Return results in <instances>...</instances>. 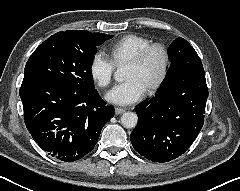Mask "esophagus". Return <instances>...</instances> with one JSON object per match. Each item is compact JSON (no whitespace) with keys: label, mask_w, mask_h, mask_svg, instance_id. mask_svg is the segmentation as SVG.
<instances>
[{"label":"esophagus","mask_w":240,"mask_h":191,"mask_svg":"<svg viewBox=\"0 0 240 191\" xmlns=\"http://www.w3.org/2000/svg\"><path fill=\"white\" fill-rule=\"evenodd\" d=\"M125 111H126L125 108H119V107L115 108V114L116 115H120V114L124 113Z\"/></svg>","instance_id":"1"}]
</instances>
